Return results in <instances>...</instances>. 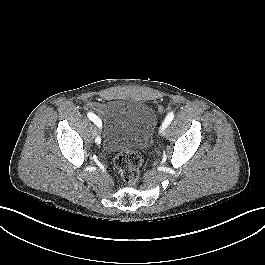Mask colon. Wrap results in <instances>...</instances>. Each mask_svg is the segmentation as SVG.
Segmentation results:
<instances>
[{
  "label": "colon",
  "instance_id": "obj_1",
  "mask_svg": "<svg viewBox=\"0 0 265 265\" xmlns=\"http://www.w3.org/2000/svg\"><path fill=\"white\" fill-rule=\"evenodd\" d=\"M142 156L136 151L118 153L114 165L119 170L123 180L129 185H135L140 178Z\"/></svg>",
  "mask_w": 265,
  "mask_h": 265
}]
</instances>
